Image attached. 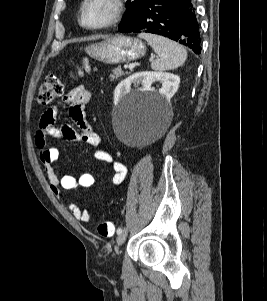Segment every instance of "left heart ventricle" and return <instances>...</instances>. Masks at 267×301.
<instances>
[{
  "label": "left heart ventricle",
  "instance_id": "left-heart-ventricle-1",
  "mask_svg": "<svg viewBox=\"0 0 267 301\" xmlns=\"http://www.w3.org/2000/svg\"><path fill=\"white\" fill-rule=\"evenodd\" d=\"M109 0H90L85 9V22L96 25L106 21L112 13Z\"/></svg>",
  "mask_w": 267,
  "mask_h": 301
}]
</instances>
